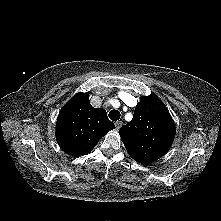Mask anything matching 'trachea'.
Returning a JSON list of instances; mask_svg holds the SVG:
<instances>
[{
    "instance_id": "3493384b",
    "label": "trachea",
    "mask_w": 221,
    "mask_h": 221,
    "mask_svg": "<svg viewBox=\"0 0 221 221\" xmlns=\"http://www.w3.org/2000/svg\"><path fill=\"white\" fill-rule=\"evenodd\" d=\"M109 118L112 120V121H117L119 120L120 118V112L118 110H111L109 112Z\"/></svg>"
}]
</instances>
